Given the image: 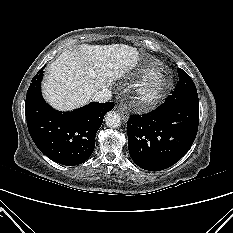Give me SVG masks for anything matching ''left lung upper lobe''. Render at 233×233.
<instances>
[{
  "mask_svg": "<svg viewBox=\"0 0 233 233\" xmlns=\"http://www.w3.org/2000/svg\"><path fill=\"white\" fill-rule=\"evenodd\" d=\"M179 81L172 93V96L178 100L198 97L195 84L191 77L182 69L178 68Z\"/></svg>",
  "mask_w": 233,
  "mask_h": 233,
  "instance_id": "left-lung-upper-lobe-1",
  "label": "left lung upper lobe"
}]
</instances>
